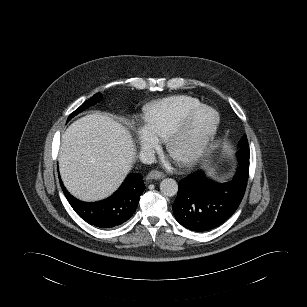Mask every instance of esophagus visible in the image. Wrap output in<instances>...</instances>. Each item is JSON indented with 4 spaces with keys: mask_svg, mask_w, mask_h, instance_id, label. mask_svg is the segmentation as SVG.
<instances>
[{
    "mask_svg": "<svg viewBox=\"0 0 307 307\" xmlns=\"http://www.w3.org/2000/svg\"><path fill=\"white\" fill-rule=\"evenodd\" d=\"M164 177L165 176H164V174L162 172L157 171V170H153V171L148 173L146 178L148 180H152V179L159 180V179H163Z\"/></svg>",
    "mask_w": 307,
    "mask_h": 307,
    "instance_id": "1",
    "label": "esophagus"
}]
</instances>
